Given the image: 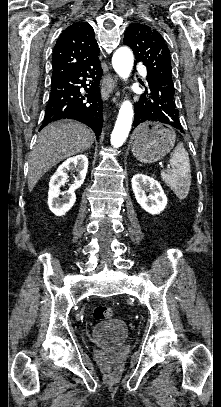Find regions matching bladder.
<instances>
[{
    "instance_id": "obj_1",
    "label": "bladder",
    "mask_w": 221,
    "mask_h": 407,
    "mask_svg": "<svg viewBox=\"0 0 221 407\" xmlns=\"http://www.w3.org/2000/svg\"><path fill=\"white\" fill-rule=\"evenodd\" d=\"M129 333V327L124 319H113L108 324H97L92 328V339L99 344H123Z\"/></svg>"
}]
</instances>
